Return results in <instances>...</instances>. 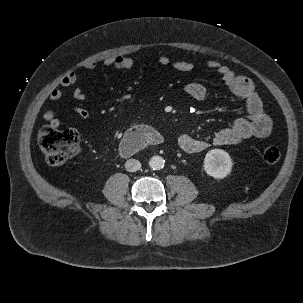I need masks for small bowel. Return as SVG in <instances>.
Returning <instances> with one entry per match:
<instances>
[{"mask_svg": "<svg viewBox=\"0 0 303 303\" xmlns=\"http://www.w3.org/2000/svg\"><path fill=\"white\" fill-rule=\"evenodd\" d=\"M158 63L165 67H172L176 72H187L194 67L191 61L173 60L167 55L159 56ZM104 65L117 69H130L134 65V60L123 55L112 56L104 60ZM206 66L221 75L223 91L244 100L247 116L235 119L230 126L216 132L210 140L200 139L186 133L180 134L177 138L178 146L184 152L198 153L204 151L210 145H235L252 137H267L272 130V121L265 112L264 103L256 92L253 81L248 77L236 75L229 67L216 60H209ZM85 68L94 70L96 63H87ZM78 78L77 72H68L60 80L58 87L50 91L49 99L52 101L61 99L65 92L77 83ZM184 92L195 100H204L211 94L208 86L200 82L186 84ZM73 97L82 101L86 98V95L80 87H75ZM74 112L80 119H86L89 116L88 110L84 107H75ZM43 117L52 127L58 128L61 124L60 119L52 109L45 110Z\"/></svg>", "mask_w": 303, "mask_h": 303, "instance_id": "small-bowel-1", "label": "small bowel"}]
</instances>
